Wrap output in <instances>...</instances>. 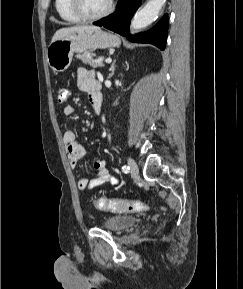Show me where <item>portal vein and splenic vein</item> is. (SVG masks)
Here are the masks:
<instances>
[{"instance_id": "1", "label": "portal vein and splenic vein", "mask_w": 243, "mask_h": 289, "mask_svg": "<svg viewBox=\"0 0 243 289\" xmlns=\"http://www.w3.org/2000/svg\"><path fill=\"white\" fill-rule=\"evenodd\" d=\"M105 62H106V63H111V62H112V59H111V58H107V59L105 60Z\"/></svg>"}]
</instances>
